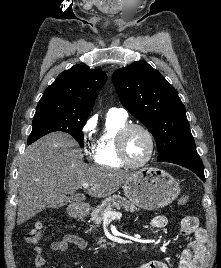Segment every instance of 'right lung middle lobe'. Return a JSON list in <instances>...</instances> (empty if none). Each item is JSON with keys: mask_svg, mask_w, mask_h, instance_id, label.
<instances>
[{"mask_svg": "<svg viewBox=\"0 0 221 268\" xmlns=\"http://www.w3.org/2000/svg\"><path fill=\"white\" fill-rule=\"evenodd\" d=\"M87 118V116L64 111H36L28 143H33L50 132L61 131L73 136L83 147L82 129L86 124Z\"/></svg>", "mask_w": 221, "mask_h": 268, "instance_id": "right-lung-middle-lobe-1", "label": "right lung middle lobe"}]
</instances>
